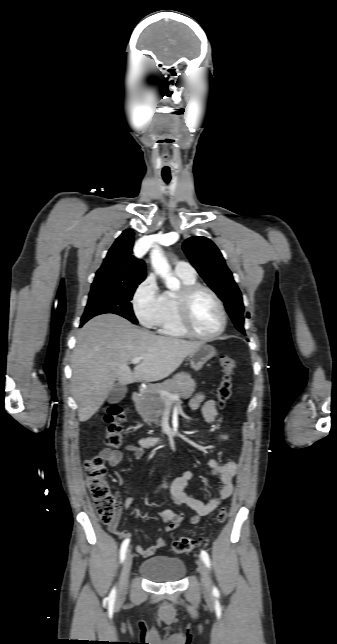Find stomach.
Wrapping results in <instances>:
<instances>
[{"label":"stomach","mask_w":337,"mask_h":644,"mask_svg":"<svg viewBox=\"0 0 337 644\" xmlns=\"http://www.w3.org/2000/svg\"><path fill=\"white\" fill-rule=\"evenodd\" d=\"M215 354L216 350L213 346L202 343L196 351L189 355L188 361L194 370H200Z\"/></svg>","instance_id":"stomach-1"}]
</instances>
